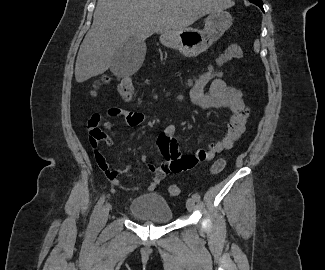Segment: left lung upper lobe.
<instances>
[{"mask_svg":"<svg viewBox=\"0 0 325 270\" xmlns=\"http://www.w3.org/2000/svg\"><path fill=\"white\" fill-rule=\"evenodd\" d=\"M250 2H252V3H262V0H249Z\"/></svg>","mask_w":325,"mask_h":270,"instance_id":"left-lung-upper-lobe-1","label":"left lung upper lobe"}]
</instances>
